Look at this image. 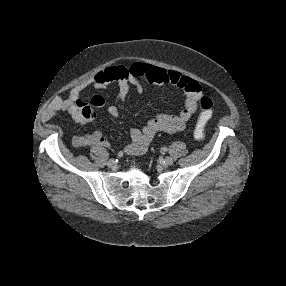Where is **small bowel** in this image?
<instances>
[{
  "instance_id": "1",
  "label": "small bowel",
  "mask_w": 286,
  "mask_h": 286,
  "mask_svg": "<svg viewBox=\"0 0 286 286\" xmlns=\"http://www.w3.org/2000/svg\"><path fill=\"white\" fill-rule=\"evenodd\" d=\"M142 78L155 85L176 86L185 94L184 107L178 114L157 113L143 128L131 129V141L125 147V152L129 155L142 154L148 149L156 134L160 132L174 133L186 127L192 116L198 111L202 87L197 81L180 72L154 68L141 62H135L130 66H111L73 87L67 97L54 100L48 116L68 113L77 125L91 122L96 118L95 109L103 107L105 100L100 95H94L90 104H87L80 98L82 91L88 86L103 89L107 85L115 83L118 87V94L114 103L108 106L107 111L110 116L117 117L119 105L127 97L130 85H134L138 92L142 91L143 87L140 82ZM71 144L74 148L91 145L109 146L107 138L98 131L85 136H75L72 138Z\"/></svg>"
}]
</instances>
